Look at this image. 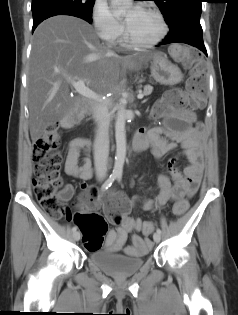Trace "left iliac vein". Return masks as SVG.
Here are the masks:
<instances>
[{
    "label": "left iliac vein",
    "mask_w": 238,
    "mask_h": 315,
    "mask_svg": "<svg viewBox=\"0 0 238 315\" xmlns=\"http://www.w3.org/2000/svg\"><path fill=\"white\" fill-rule=\"evenodd\" d=\"M153 240L156 242V243H159L160 242V240H161V234H159V233H154V235H153Z\"/></svg>",
    "instance_id": "4c4485c4"
}]
</instances>
